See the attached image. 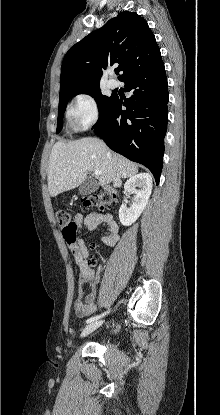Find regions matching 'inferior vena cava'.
<instances>
[{
	"label": "inferior vena cava",
	"mask_w": 220,
	"mask_h": 415,
	"mask_svg": "<svg viewBox=\"0 0 220 415\" xmlns=\"http://www.w3.org/2000/svg\"><path fill=\"white\" fill-rule=\"evenodd\" d=\"M114 184H115V185H119V184H120V179H116V180H114Z\"/></svg>",
	"instance_id": "inferior-vena-cava-1"
}]
</instances>
